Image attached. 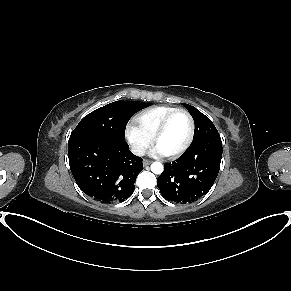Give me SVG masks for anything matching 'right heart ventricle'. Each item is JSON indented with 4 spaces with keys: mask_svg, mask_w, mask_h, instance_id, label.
Listing matches in <instances>:
<instances>
[{
    "mask_svg": "<svg viewBox=\"0 0 291 291\" xmlns=\"http://www.w3.org/2000/svg\"><path fill=\"white\" fill-rule=\"evenodd\" d=\"M176 109L170 106L152 107L136 115L134 121L149 138H152L162 120Z\"/></svg>",
    "mask_w": 291,
    "mask_h": 291,
    "instance_id": "e07e8e85",
    "label": "right heart ventricle"
}]
</instances>
